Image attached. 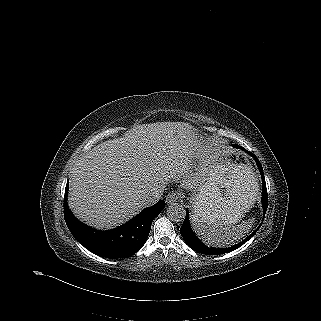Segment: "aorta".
I'll use <instances>...</instances> for the list:
<instances>
[{
  "mask_svg": "<svg viewBox=\"0 0 321 321\" xmlns=\"http://www.w3.org/2000/svg\"><path fill=\"white\" fill-rule=\"evenodd\" d=\"M167 215L171 220L179 222L184 220L186 211L181 204L173 203L168 206Z\"/></svg>",
  "mask_w": 321,
  "mask_h": 321,
  "instance_id": "aorta-1",
  "label": "aorta"
}]
</instances>
